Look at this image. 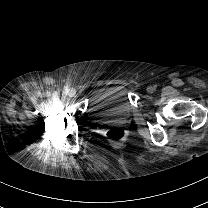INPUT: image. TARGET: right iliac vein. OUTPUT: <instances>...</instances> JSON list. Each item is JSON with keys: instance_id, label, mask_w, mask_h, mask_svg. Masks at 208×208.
Returning <instances> with one entry per match:
<instances>
[{"instance_id": "obj_1", "label": "right iliac vein", "mask_w": 208, "mask_h": 208, "mask_svg": "<svg viewBox=\"0 0 208 208\" xmlns=\"http://www.w3.org/2000/svg\"><path fill=\"white\" fill-rule=\"evenodd\" d=\"M75 94H76V91H75V89H73V88L70 89L69 92H68V95H69L70 97H74Z\"/></svg>"}]
</instances>
